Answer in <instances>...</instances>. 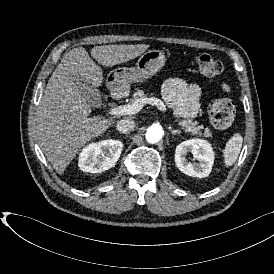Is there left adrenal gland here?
<instances>
[{"label":"left adrenal gland","mask_w":274,"mask_h":274,"mask_svg":"<svg viewBox=\"0 0 274 274\" xmlns=\"http://www.w3.org/2000/svg\"><path fill=\"white\" fill-rule=\"evenodd\" d=\"M170 133L171 135H176V134H180V131L178 129L173 130L170 128Z\"/></svg>","instance_id":"left-adrenal-gland-1"}]
</instances>
